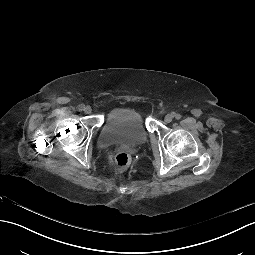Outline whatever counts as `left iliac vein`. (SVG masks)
Segmentation results:
<instances>
[{
	"label": "left iliac vein",
	"instance_id": "1",
	"mask_svg": "<svg viewBox=\"0 0 255 255\" xmlns=\"http://www.w3.org/2000/svg\"><path fill=\"white\" fill-rule=\"evenodd\" d=\"M173 119V115L172 114H167L164 118L165 122L170 123Z\"/></svg>",
	"mask_w": 255,
	"mask_h": 255
}]
</instances>
